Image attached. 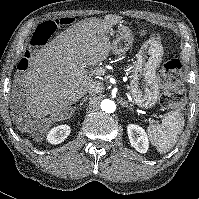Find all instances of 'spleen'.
<instances>
[{
	"label": "spleen",
	"instance_id": "spleen-1",
	"mask_svg": "<svg viewBox=\"0 0 199 199\" xmlns=\"http://www.w3.org/2000/svg\"><path fill=\"white\" fill-rule=\"evenodd\" d=\"M184 127V118L179 111L167 113L162 124H154L148 127V135L153 146L159 153L170 151L176 144Z\"/></svg>",
	"mask_w": 199,
	"mask_h": 199
}]
</instances>
